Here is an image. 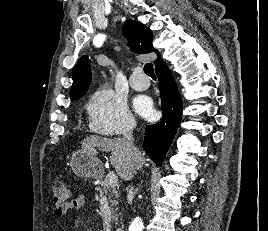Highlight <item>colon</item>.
<instances>
[{
  "label": "colon",
  "mask_w": 268,
  "mask_h": 231,
  "mask_svg": "<svg viewBox=\"0 0 268 231\" xmlns=\"http://www.w3.org/2000/svg\"><path fill=\"white\" fill-rule=\"evenodd\" d=\"M51 195L56 208L65 211L70 203V189L61 181H54L51 184Z\"/></svg>",
  "instance_id": "1"
}]
</instances>
